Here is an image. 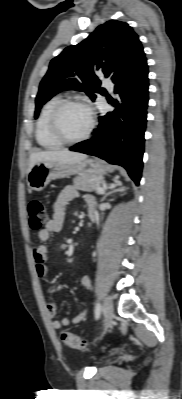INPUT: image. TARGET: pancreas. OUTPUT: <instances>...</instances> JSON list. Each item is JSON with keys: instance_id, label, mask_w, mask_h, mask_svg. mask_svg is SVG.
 <instances>
[{"instance_id": "1", "label": "pancreas", "mask_w": 182, "mask_h": 399, "mask_svg": "<svg viewBox=\"0 0 182 399\" xmlns=\"http://www.w3.org/2000/svg\"><path fill=\"white\" fill-rule=\"evenodd\" d=\"M101 183V178L87 175H81L73 179V184L77 189L88 192H97V187L100 186Z\"/></svg>"}]
</instances>
